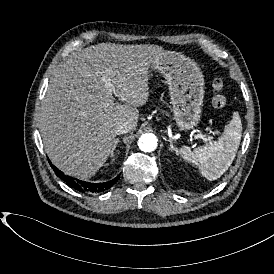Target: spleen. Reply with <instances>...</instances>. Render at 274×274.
Segmentation results:
<instances>
[{"label": "spleen", "mask_w": 274, "mask_h": 274, "mask_svg": "<svg viewBox=\"0 0 274 274\" xmlns=\"http://www.w3.org/2000/svg\"><path fill=\"white\" fill-rule=\"evenodd\" d=\"M241 132L240 117L238 113H234L233 119L215 143L197 147L193 151L188 146H182L181 157L196 167L201 177L210 181L215 180L231 165L240 144Z\"/></svg>", "instance_id": "spleen-1"}]
</instances>
